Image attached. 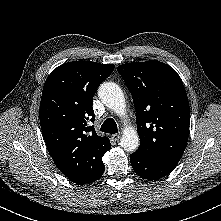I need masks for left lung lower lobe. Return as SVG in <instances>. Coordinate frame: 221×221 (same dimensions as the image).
Listing matches in <instances>:
<instances>
[{"mask_svg": "<svg viewBox=\"0 0 221 221\" xmlns=\"http://www.w3.org/2000/svg\"><path fill=\"white\" fill-rule=\"evenodd\" d=\"M130 162L136 174L149 180L159 179L168 175L177 165L153 161L136 153L130 155Z\"/></svg>", "mask_w": 221, "mask_h": 221, "instance_id": "obj_1", "label": "left lung lower lobe"}]
</instances>
